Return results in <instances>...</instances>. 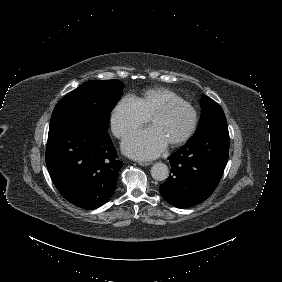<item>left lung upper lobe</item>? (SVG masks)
<instances>
[{"label":"left lung upper lobe","instance_id":"obj_1","mask_svg":"<svg viewBox=\"0 0 282 282\" xmlns=\"http://www.w3.org/2000/svg\"><path fill=\"white\" fill-rule=\"evenodd\" d=\"M201 119L196 133L216 124L226 123L222 108L208 96L201 99Z\"/></svg>","mask_w":282,"mask_h":282}]
</instances>
